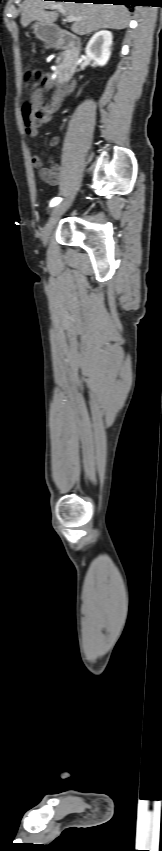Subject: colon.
<instances>
[{"mask_svg":"<svg viewBox=\"0 0 162 851\" xmlns=\"http://www.w3.org/2000/svg\"><path fill=\"white\" fill-rule=\"evenodd\" d=\"M23 81L27 89H35L43 82V74L35 68H27L23 73Z\"/></svg>","mask_w":162,"mask_h":851,"instance_id":"1","label":"colon"}]
</instances>
